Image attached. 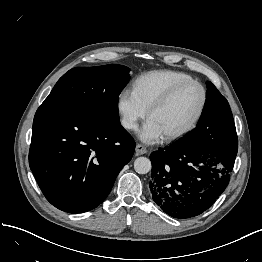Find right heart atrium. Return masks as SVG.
Segmentation results:
<instances>
[{
	"label": "right heart atrium",
	"mask_w": 262,
	"mask_h": 262,
	"mask_svg": "<svg viewBox=\"0 0 262 262\" xmlns=\"http://www.w3.org/2000/svg\"><path fill=\"white\" fill-rule=\"evenodd\" d=\"M117 108L121 124L127 130L134 131L139 122L147 115V110L138 102L130 90H123L117 99Z\"/></svg>",
	"instance_id": "right-heart-atrium-1"
}]
</instances>
